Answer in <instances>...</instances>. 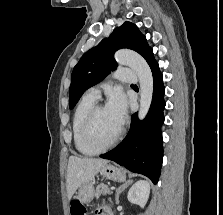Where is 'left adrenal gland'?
Returning <instances> with one entry per match:
<instances>
[{
	"instance_id": "a2214340",
	"label": "left adrenal gland",
	"mask_w": 223,
	"mask_h": 215,
	"mask_svg": "<svg viewBox=\"0 0 223 215\" xmlns=\"http://www.w3.org/2000/svg\"><path fill=\"white\" fill-rule=\"evenodd\" d=\"M130 183H133V179H127V181H124V183H122V185H119V187H117L116 189V203H120L119 201V193H121V191H124V189H126V187H128V185H130Z\"/></svg>"
}]
</instances>
